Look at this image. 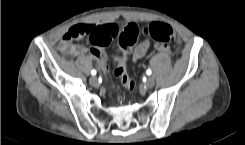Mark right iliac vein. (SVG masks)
I'll return each instance as SVG.
<instances>
[{
    "label": "right iliac vein",
    "mask_w": 245,
    "mask_h": 145,
    "mask_svg": "<svg viewBox=\"0 0 245 145\" xmlns=\"http://www.w3.org/2000/svg\"><path fill=\"white\" fill-rule=\"evenodd\" d=\"M89 82L92 86H98V79L95 76H92Z\"/></svg>",
    "instance_id": "right-iliac-vein-1"
}]
</instances>
